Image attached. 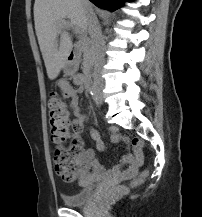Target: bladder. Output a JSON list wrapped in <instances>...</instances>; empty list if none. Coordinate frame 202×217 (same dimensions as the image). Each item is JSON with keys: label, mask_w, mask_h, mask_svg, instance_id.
I'll return each instance as SVG.
<instances>
[{"label": "bladder", "mask_w": 202, "mask_h": 217, "mask_svg": "<svg viewBox=\"0 0 202 217\" xmlns=\"http://www.w3.org/2000/svg\"><path fill=\"white\" fill-rule=\"evenodd\" d=\"M95 182L96 178L93 174H85L79 182L81 188L76 193L62 196L64 204L69 207L84 205L93 194Z\"/></svg>", "instance_id": "obj_1"}]
</instances>
